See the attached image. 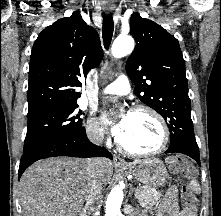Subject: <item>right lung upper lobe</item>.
I'll use <instances>...</instances> for the list:
<instances>
[{
  "label": "right lung upper lobe",
  "mask_w": 221,
  "mask_h": 216,
  "mask_svg": "<svg viewBox=\"0 0 221 216\" xmlns=\"http://www.w3.org/2000/svg\"><path fill=\"white\" fill-rule=\"evenodd\" d=\"M101 59L99 35L79 12L45 28L31 52L28 115L77 104L75 88Z\"/></svg>",
  "instance_id": "right-lung-upper-lobe-1"
}]
</instances>
